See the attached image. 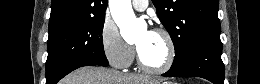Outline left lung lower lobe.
Masks as SVG:
<instances>
[{
	"label": "left lung lower lobe",
	"instance_id": "left-lung-lower-lobe-1",
	"mask_svg": "<svg viewBox=\"0 0 260 84\" xmlns=\"http://www.w3.org/2000/svg\"><path fill=\"white\" fill-rule=\"evenodd\" d=\"M220 40L202 43L193 48L177 65L162 74L165 77L197 76L214 84H224V64Z\"/></svg>",
	"mask_w": 260,
	"mask_h": 84
}]
</instances>
